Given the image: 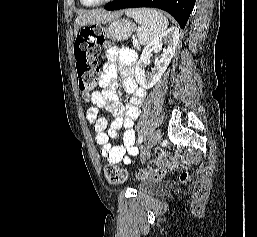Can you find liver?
Masks as SVG:
<instances>
[{
  "mask_svg": "<svg viewBox=\"0 0 257 237\" xmlns=\"http://www.w3.org/2000/svg\"><path fill=\"white\" fill-rule=\"evenodd\" d=\"M122 12L116 13H106L105 11H92L85 14L79 15L74 22V33L78 34V31L81 26L85 24H93V23H105L111 20L117 19Z\"/></svg>",
  "mask_w": 257,
  "mask_h": 237,
  "instance_id": "1",
  "label": "liver"
}]
</instances>
